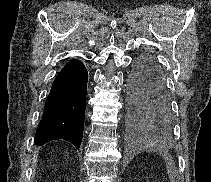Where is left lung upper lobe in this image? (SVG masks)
Masks as SVG:
<instances>
[{
	"label": "left lung upper lobe",
	"mask_w": 211,
	"mask_h": 182,
	"mask_svg": "<svg viewBox=\"0 0 211 182\" xmlns=\"http://www.w3.org/2000/svg\"><path fill=\"white\" fill-rule=\"evenodd\" d=\"M146 128L148 129V131H149V132H151V133H152V130H151V128H149V127H146Z\"/></svg>",
	"instance_id": "left-lung-upper-lobe-1"
}]
</instances>
